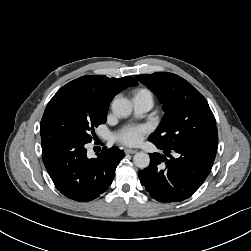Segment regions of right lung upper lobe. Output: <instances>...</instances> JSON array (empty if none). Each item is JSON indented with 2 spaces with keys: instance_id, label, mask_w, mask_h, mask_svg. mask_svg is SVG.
I'll list each match as a JSON object with an SVG mask.
<instances>
[{
  "instance_id": "cb5924a9",
  "label": "right lung upper lobe",
  "mask_w": 251,
  "mask_h": 251,
  "mask_svg": "<svg viewBox=\"0 0 251 251\" xmlns=\"http://www.w3.org/2000/svg\"><path fill=\"white\" fill-rule=\"evenodd\" d=\"M135 84H137V81L132 77L116 79L102 75H89L75 79L64 87L88 95L98 106L108 110L109 103L116 94Z\"/></svg>"
}]
</instances>
